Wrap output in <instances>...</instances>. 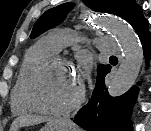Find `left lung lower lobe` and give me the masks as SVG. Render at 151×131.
I'll return each instance as SVG.
<instances>
[{
    "label": "left lung lower lobe",
    "instance_id": "left-lung-lower-lobe-1",
    "mask_svg": "<svg viewBox=\"0 0 151 131\" xmlns=\"http://www.w3.org/2000/svg\"><path fill=\"white\" fill-rule=\"evenodd\" d=\"M138 34L146 59L151 56V34L148 21L140 9L131 22ZM108 65L97 75L96 86L89 102L83 106L74 118V122L89 131H131L130 114L139 89L133 86L119 97H111L105 89V76L110 72Z\"/></svg>",
    "mask_w": 151,
    "mask_h": 131
}]
</instances>
